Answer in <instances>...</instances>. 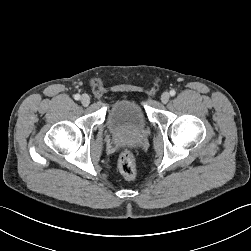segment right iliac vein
I'll return each instance as SVG.
<instances>
[{"label": "right iliac vein", "mask_w": 251, "mask_h": 251, "mask_svg": "<svg viewBox=\"0 0 251 251\" xmlns=\"http://www.w3.org/2000/svg\"><path fill=\"white\" fill-rule=\"evenodd\" d=\"M80 100L83 106H88L90 103V97L88 94H83Z\"/></svg>", "instance_id": "63e3f726"}]
</instances>
